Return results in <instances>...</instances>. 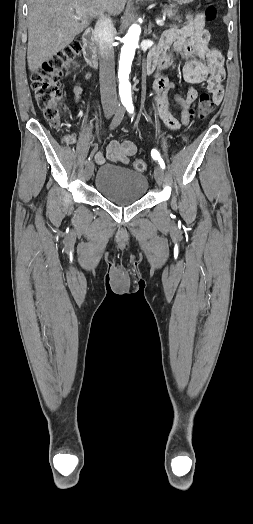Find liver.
<instances>
[{"instance_id":"obj_1","label":"liver","mask_w":253,"mask_h":524,"mask_svg":"<svg viewBox=\"0 0 253 524\" xmlns=\"http://www.w3.org/2000/svg\"><path fill=\"white\" fill-rule=\"evenodd\" d=\"M127 0H28V50L30 71L38 70L86 29L95 15H119ZM77 8L84 9L78 15Z\"/></svg>"}]
</instances>
